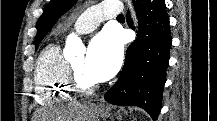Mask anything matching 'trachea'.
Returning <instances> with one entry per match:
<instances>
[{
    "instance_id": "1",
    "label": "trachea",
    "mask_w": 217,
    "mask_h": 121,
    "mask_svg": "<svg viewBox=\"0 0 217 121\" xmlns=\"http://www.w3.org/2000/svg\"><path fill=\"white\" fill-rule=\"evenodd\" d=\"M118 17H124V15H123V14H120Z\"/></svg>"
}]
</instances>
